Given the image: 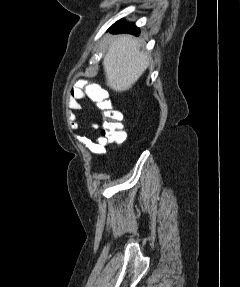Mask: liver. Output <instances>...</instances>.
<instances>
[{"label": "liver", "instance_id": "obj_1", "mask_svg": "<svg viewBox=\"0 0 240 287\" xmlns=\"http://www.w3.org/2000/svg\"><path fill=\"white\" fill-rule=\"evenodd\" d=\"M149 60L137 39L130 35L114 37L103 60L107 86L116 92L129 90L145 72Z\"/></svg>", "mask_w": 240, "mask_h": 287}]
</instances>
